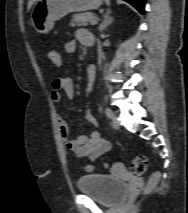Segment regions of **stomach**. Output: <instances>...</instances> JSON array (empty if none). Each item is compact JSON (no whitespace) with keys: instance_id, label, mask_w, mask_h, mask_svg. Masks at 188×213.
Listing matches in <instances>:
<instances>
[{"instance_id":"1","label":"stomach","mask_w":188,"mask_h":213,"mask_svg":"<svg viewBox=\"0 0 188 213\" xmlns=\"http://www.w3.org/2000/svg\"><path fill=\"white\" fill-rule=\"evenodd\" d=\"M101 4L102 0H38L31 14L32 25L38 33H48L68 13L97 9Z\"/></svg>"}]
</instances>
